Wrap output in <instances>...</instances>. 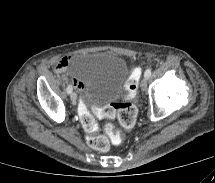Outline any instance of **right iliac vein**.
I'll list each match as a JSON object with an SVG mask.
<instances>
[{"mask_svg": "<svg viewBox=\"0 0 215 183\" xmlns=\"http://www.w3.org/2000/svg\"><path fill=\"white\" fill-rule=\"evenodd\" d=\"M70 99L72 101L73 104L76 103V100H77V95L75 92H72L71 95H70Z\"/></svg>", "mask_w": 215, "mask_h": 183, "instance_id": "63e3f726", "label": "right iliac vein"}]
</instances>
